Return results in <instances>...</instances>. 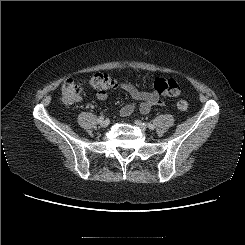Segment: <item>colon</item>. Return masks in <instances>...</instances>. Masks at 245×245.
Returning <instances> with one entry per match:
<instances>
[{
	"label": "colon",
	"instance_id": "obj_1",
	"mask_svg": "<svg viewBox=\"0 0 245 245\" xmlns=\"http://www.w3.org/2000/svg\"><path fill=\"white\" fill-rule=\"evenodd\" d=\"M89 87L97 91H107L119 86L117 77L106 74L96 73L85 82ZM153 89L158 93L166 96H177L180 93V85L174 79L156 78L152 82ZM81 91L80 83L73 79H68L64 82L61 89V98L65 104H73L79 99ZM189 104L185 100H180L177 103V108L181 111H186Z\"/></svg>",
	"mask_w": 245,
	"mask_h": 245
}]
</instances>
